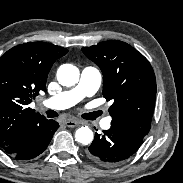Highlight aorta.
I'll return each mask as SVG.
<instances>
[{
    "mask_svg": "<svg viewBox=\"0 0 183 183\" xmlns=\"http://www.w3.org/2000/svg\"><path fill=\"white\" fill-rule=\"evenodd\" d=\"M79 77V69L72 64H63L57 71L58 82L66 87H71L77 84L79 82ZM75 139L83 145L90 144L93 140V132L87 126L80 127L75 132Z\"/></svg>",
    "mask_w": 183,
    "mask_h": 183,
    "instance_id": "obj_1",
    "label": "aorta"
}]
</instances>
